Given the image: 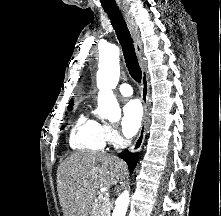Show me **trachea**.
Instances as JSON below:
<instances>
[{"instance_id":"trachea-1","label":"trachea","mask_w":221,"mask_h":216,"mask_svg":"<svg viewBox=\"0 0 221 216\" xmlns=\"http://www.w3.org/2000/svg\"><path fill=\"white\" fill-rule=\"evenodd\" d=\"M106 13L108 14L111 20V24L122 46V51L128 71L131 77L135 81L140 83L142 78V71L138 63L135 48L133 45V40L131 38L128 27L119 10H110L106 11Z\"/></svg>"}]
</instances>
